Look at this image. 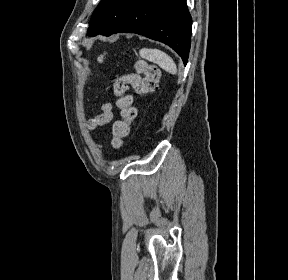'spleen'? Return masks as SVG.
<instances>
[{
    "instance_id": "obj_1",
    "label": "spleen",
    "mask_w": 288,
    "mask_h": 280,
    "mask_svg": "<svg viewBox=\"0 0 288 280\" xmlns=\"http://www.w3.org/2000/svg\"><path fill=\"white\" fill-rule=\"evenodd\" d=\"M140 56L148 61H151L153 63H156L159 65L162 69L169 72L172 75L177 74V66L173 59L166 54L165 52L159 50V49H148L143 48L140 50Z\"/></svg>"
}]
</instances>
